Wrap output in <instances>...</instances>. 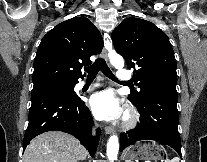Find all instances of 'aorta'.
Wrapping results in <instances>:
<instances>
[{"label": "aorta", "mask_w": 207, "mask_h": 162, "mask_svg": "<svg viewBox=\"0 0 207 162\" xmlns=\"http://www.w3.org/2000/svg\"><path fill=\"white\" fill-rule=\"evenodd\" d=\"M110 63L117 69H120L124 66L123 57L120 55L110 56ZM119 151V140L116 135H112L107 143V157L110 162H113L117 159Z\"/></svg>", "instance_id": "aorta-1"}]
</instances>
